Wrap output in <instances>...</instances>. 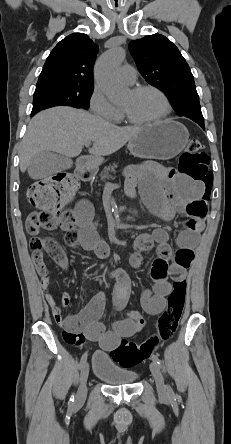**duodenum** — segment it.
<instances>
[{
    "mask_svg": "<svg viewBox=\"0 0 231 444\" xmlns=\"http://www.w3.org/2000/svg\"><path fill=\"white\" fill-rule=\"evenodd\" d=\"M92 173H93V170L91 168H88V167H83L82 169H80L78 171V175L81 176V177H85V178L91 176Z\"/></svg>",
    "mask_w": 231,
    "mask_h": 444,
    "instance_id": "duodenum-1",
    "label": "duodenum"
}]
</instances>
